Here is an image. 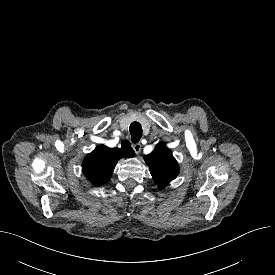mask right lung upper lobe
I'll use <instances>...</instances> for the list:
<instances>
[{
    "mask_svg": "<svg viewBox=\"0 0 275 275\" xmlns=\"http://www.w3.org/2000/svg\"><path fill=\"white\" fill-rule=\"evenodd\" d=\"M134 155V150L126 140L122 142L121 148L100 145L84 158L82 172L93 185L101 186L110 180L119 159Z\"/></svg>",
    "mask_w": 275,
    "mask_h": 275,
    "instance_id": "obj_1",
    "label": "right lung upper lobe"
}]
</instances>
